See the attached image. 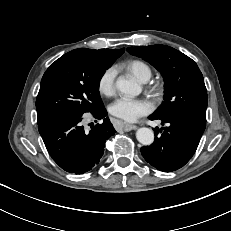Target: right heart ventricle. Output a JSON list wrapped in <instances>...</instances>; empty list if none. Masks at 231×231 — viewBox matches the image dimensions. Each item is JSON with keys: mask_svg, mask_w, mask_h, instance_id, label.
<instances>
[{"mask_svg": "<svg viewBox=\"0 0 231 231\" xmlns=\"http://www.w3.org/2000/svg\"><path fill=\"white\" fill-rule=\"evenodd\" d=\"M121 67L142 82L147 81L152 74L150 66L139 59L129 60L123 63Z\"/></svg>", "mask_w": 231, "mask_h": 231, "instance_id": "obj_1", "label": "right heart ventricle"}]
</instances>
